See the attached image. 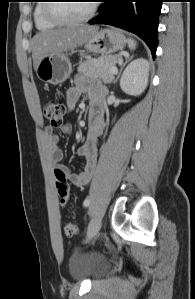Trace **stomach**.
Returning a JSON list of instances; mask_svg holds the SVG:
<instances>
[{"label":"stomach","instance_id":"0dacf381","mask_svg":"<svg viewBox=\"0 0 195 299\" xmlns=\"http://www.w3.org/2000/svg\"><path fill=\"white\" fill-rule=\"evenodd\" d=\"M126 43L127 39L120 31L106 28L96 31L83 46L88 53L107 56L123 49ZM71 72L72 64L65 53L43 57L36 70L37 77L41 81L52 85L66 81Z\"/></svg>","mask_w":195,"mask_h":299}]
</instances>
